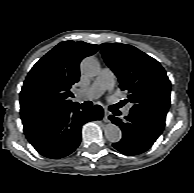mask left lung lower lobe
<instances>
[{"instance_id":"obj_1","label":"left lung lower lobe","mask_w":194,"mask_h":193,"mask_svg":"<svg viewBox=\"0 0 194 193\" xmlns=\"http://www.w3.org/2000/svg\"><path fill=\"white\" fill-rule=\"evenodd\" d=\"M109 119L122 130V139L113 144L114 148L127 155H137L147 151L161 135L166 117L130 111L125 121L114 115Z\"/></svg>"}]
</instances>
